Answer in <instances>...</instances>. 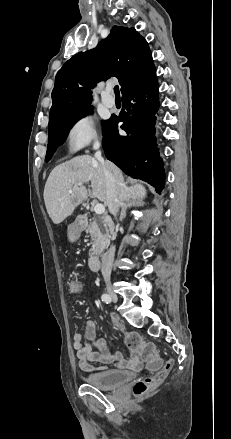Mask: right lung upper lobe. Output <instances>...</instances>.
Returning <instances> with one entry per match:
<instances>
[{"label": "right lung upper lobe", "mask_w": 231, "mask_h": 439, "mask_svg": "<svg viewBox=\"0 0 231 439\" xmlns=\"http://www.w3.org/2000/svg\"><path fill=\"white\" fill-rule=\"evenodd\" d=\"M155 72L146 40L134 28L115 25L95 49L76 54L57 72L49 127L92 108L90 87L97 82L115 76L124 95Z\"/></svg>", "instance_id": "right-lung-upper-lobe-1"}]
</instances>
